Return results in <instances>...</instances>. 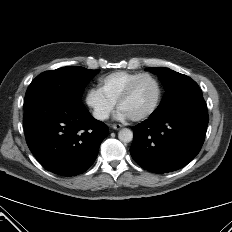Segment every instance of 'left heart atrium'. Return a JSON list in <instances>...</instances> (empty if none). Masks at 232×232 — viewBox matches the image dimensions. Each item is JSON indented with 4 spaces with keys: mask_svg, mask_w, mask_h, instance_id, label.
Returning <instances> with one entry per match:
<instances>
[{
    "mask_svg": "<svg viewBox=\"0 0 232 232\" xmlns=\"http://www.w3.org/2000/svg\"><path fill=\"white\" fill-rule=\"evenodd\" d=\"M116 118L118 120H125V119L130 118V116L125 111H123L122 109H119L117 111Z\"/></svg>",
    "mask_w": 232,
    "mask_h": 232,
    "instance_id": "39dd6f15",
    "label": "left heart atrium"
}]
</instances>
